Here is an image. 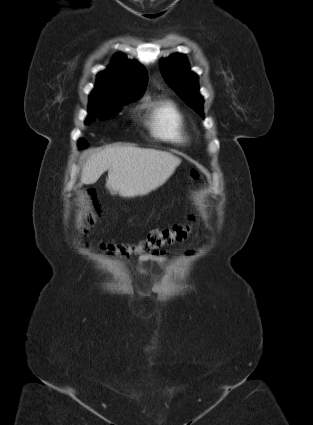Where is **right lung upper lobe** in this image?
<instances>
[{
  "instance_id": "1",
  "label": "right lung upper lobe",
  "mask_w": 313,
  "mask_h": 425,
  "mask_svg": "<svg viewBox=\"0 0 313 425\" xmlns=\"http://www.w3.org/2000/svg\"><path fill=\"white\" fill-rule=\"evenodd\" d=\"M148 81L145 68L137 62L116 55L106 71L97 75V82L90 94V102L114 96L137 100L143 94Z\"/></svg>"
}]
</instances>
